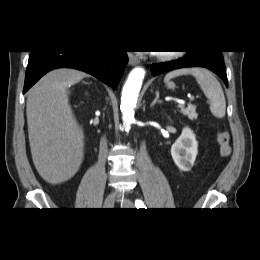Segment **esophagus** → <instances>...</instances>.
<instances>
[{
  "mask_svg": "<svg viewBox=\"0 0 260 260\" xmlns=\"http://www.w3.org/2000/svg\"><path fill=\"white\" fill-rule=\"evenodd\" d=\"M128 57H129L130 65L135 66V65L139 64V59L136 55L129 53Z\"/></svg>",
  "mask_w": 260,
  "mask_h": 260,
  "instance_id": "1",
  "label": "esophagus"
}]
</instances>
